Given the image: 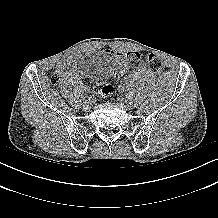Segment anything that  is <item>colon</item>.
<instances>
[{
	"instance_id": "colon-1",
	"label": "colon",
	"mask_w": 218,
	"mask_h": 218,
	"mask_svg": "<svg viewBox=\"0 0 218 218\" xmlns=\"http://www.w3.org/2000/svg\"><path fill=\"white\" fill-rule=\"evenodd\" d=\"M141 63V57L137 52H131L127 55L125 62L110 71V76L119 78L124 75L130 68L136 67ZM147 68L155 74H160L163 71V64L161 60L154 54H149L145 59ZM60 80V74L55 72L51 81L57 84ZM95 92L99 98H106L114 92V87L107 83H101L95 87Z\"/></svg>"
}]
</instances>
